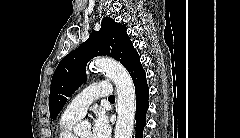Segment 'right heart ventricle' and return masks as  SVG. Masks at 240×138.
I'll return each instance as SVG.
<instances>
[{"label":"right heart ventricle","instance_id":"e07e8e85","mask_svg":"<svg viewBox=\"0 0 240 138\" xmlns=\"http://www.w3.org/2000/svg\"><path fill=\"white\" fill-rule=\"evenodd\" d=\"M77 120V117H68L63 115L59 123L58 138H75L73 126Z\"/></svg>","mask_w":240,"mask_h":138}]
</instances>
